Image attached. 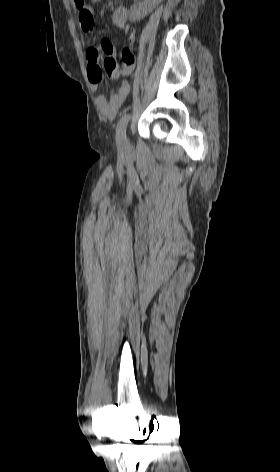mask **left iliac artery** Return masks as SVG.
<instances>
[{"instance_id": "44dca946", "label": "left iliac artery", "mask_w": 280, "mask_h": 472, "mask_svg": "<svg viewBox=\"0 0 280 472\" xmlns=\"http://www.w3.org/2000/svg\"><path fill=\"white\" fill-rule=\"evenodd\" d=\"M130 118H131V115L129 113H125L120 118L116 127V139L118 141H123L126 139V128H127Z\"/></svg>"}]
</instances>
